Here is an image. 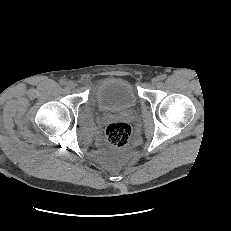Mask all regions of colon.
<instances>
[{"instance_id": "1", "label": "colon", "mask_w": 231, "mask_h": 231, "mask_svg": "<svg viewBox=\"0 0 231 231\" xmlns=\"http://www.w3.org/2000/svg\"><path fill=\"white\" fill-rule=\"evenodd\" d=\"M131 127L123 122L110 124L106 129V139L115 148H124L130 140Z\"/></svg>"}]
</instances>
